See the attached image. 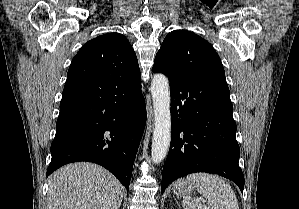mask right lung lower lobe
Returning a JSON list of instances; mask_svg holds the SVG:
<instances>
[{"mask_svg":"<svg viewBox=\"0 0 299 209\" xmlns=\"http://www.w3.org/2000/svg\"><path fill=\"white\" fill-rule=\"evenodd\" d=\"M145 123L141 78L66 82L47 176L67 163L89 161L108 169L128 190Z\"/></svg>","mask_w":299,"mask_h":209,"instance_id":"obj_1","label":"right lung lower lobe"}]
</instances>
